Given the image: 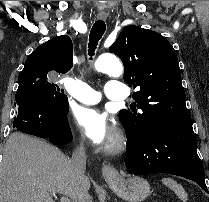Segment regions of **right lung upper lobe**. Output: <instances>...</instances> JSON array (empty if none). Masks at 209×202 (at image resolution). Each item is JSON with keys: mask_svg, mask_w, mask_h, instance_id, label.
Here are the masks:
<instances>
[{"mask_svg": "<svg viewBox=\"0 0 209 202\" xmlns=\"http://www.w3.org/2000/svg\"><path fill=\"white\" fill-rule=\"evenodd\" d=\"M73 66V45L67 35L57 36L38 46L27 58L19 75L55 71L66 73Z\"/></svg>", "mask_w": 209, "mask_h": 202, "instance_id": "right-lung-upper-lobe-1", "label": "right lung upper lobe"}]
</instances>
